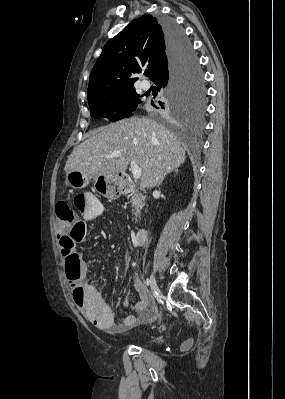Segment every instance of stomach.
Here are the masks:
<instances>
[{
	"label": "stomach",
	"mask_w": 285,
	"mask_h": 399,
	"mask_svg": "<svg viewBox=\"0 0 285 399\" xmlns=\"http://www.w3.org/2000/svg\"><path fill=\"white\" fill-rule=\"evenodd\" d=\"M94 179L95 190L109 199H117L123 193L124 182L121 177L96 176ZM90 177L80 171H70L66 174L65 183L74 189H82L89 184Z\"/></svg>",
	"instance_id": "obj_1"
}]
</instances>
